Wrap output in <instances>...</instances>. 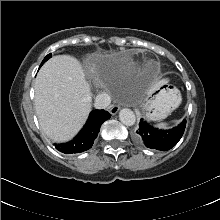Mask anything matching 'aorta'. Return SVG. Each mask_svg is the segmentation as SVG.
I'll use <instances>...</instances> for the list:
<instances>
[{"label":"aorta","instance_id":"aorta-1","mask_svg":"<svg viewBox=\"0 0 220 220\" xmlns=\"http://www.w3.org/2000/svg\"><path fill=\"white\" fill-rule=\"evenodd\" d=\"M119 119L126 126H132L136 122V116L134 112L127 108L120 110Z\"/></svg>","mask_w":220,"mask_h":220}]
</instances>
